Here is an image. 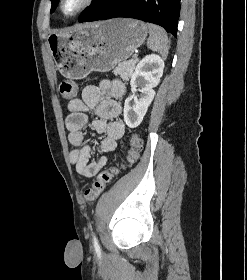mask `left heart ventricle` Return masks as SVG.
Returning a JSON list of instances; mask_svg holds the SVG:
<instances>
[{
	"instance_id": "obj_1",
	"label": "left heart ventricle",
	"mask_w": 247,
	"mask_h": 280,
	"mask_svg": "<svg viewBox=\"0 0 247 280\" xmlns=\"http://www.w3.org/2000/svg\"><path fill=\"white\" fill-rule=\"evenodd\" d=\"M82 0H67L64 5V11L66 14L74 12L80 5Z\"/></svg>"
}]
</instances>
